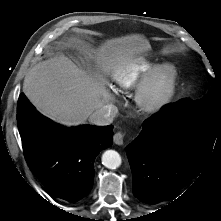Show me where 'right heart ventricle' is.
Listing matches in <instances>:
<instances>
[{
	"label": "right heart ventricle",
	"mask_w": 221,
	"mask_h": 221,
	"mask_svg": "<svg viewBox=\"0 0 221 221\" xmlns=\"http://www.w3.org/2000/svg\"><path fill=\"white\" fill-rule=\"evenodd\" d=\"M154 65L148 61H132L118 67L112 77L119 90H127L137 86L153 69Z\"/></svg>",
	"instance_id": "obj_1"
}]
</instances>
